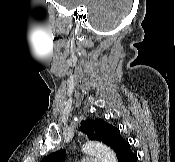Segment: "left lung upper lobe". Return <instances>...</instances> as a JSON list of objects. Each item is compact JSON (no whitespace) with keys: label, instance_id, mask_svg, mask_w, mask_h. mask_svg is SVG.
Instances as JSON below:
<instances>
[{"label":"left lung upper lobe","instance_id":"5c2ea615","mask_svg":"<svg viewBox=\"0 0 175 162\" xmlns=\"http://www.w3.org/2000/svg\"><path fill=\"white\" fill-rule=\"evenodd\" d=\"M79 130L86 133L91 140L102 141L112 149L121 138L119 129L102 119L83 121ZM65 155L66 150L61 149L46 156L40 162H62Z\"/></svg>","mask_w":175,"mask_h":162}]
</instances>
